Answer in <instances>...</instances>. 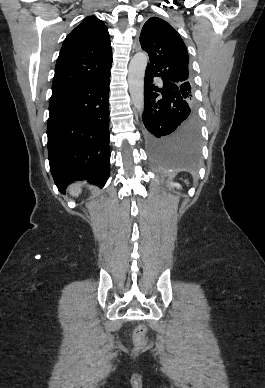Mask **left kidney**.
Here are the masks:
<instances>
[{
  "label": "left kidney",
  "instance_id": "left-kidney-1",
  "mask_svg": "<svg viewBox=\"0 0 265 388\" xmlns=\"http://www.w3.org/2000/svg\"><path fill=\"white\" fill-rule=\"evenodd\" d=\"M171 186H174V188H178V190H180L181 188L180 184H171Z\"/></svg>",
  "mask_w": 265,
  "mask_h": 388
}]
</instances>
